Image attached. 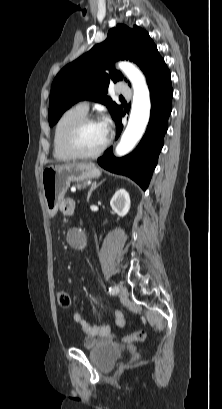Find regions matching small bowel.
Returning a JSON list of instances; mask_svg holds the SVG:
<instances>
[{
    "instance_id": "obj_1",
    "label": "small bowel",
    "mask_w": 222,
    "mask_h": 409,
    "mask_svg": "<svg viewBox=\"0 0 222 409\" xmlns=\"http://www.w3.org/2000/svg\"><path fill=\"white\" fill-rule=\"evenodd\" d=\"M76 203L72 198L65 199L60 205V211L65 215L74 213ZM74 321L80 324L82 331L86 335L84 346L91 348L98 344H103L112 341L111 330L112 326L109 324H92L84 319L79 312H74L72 315ZM114 325L122 327L125 324V319L120 311L113 312Z\"/></svg>"
}]
</instances>
